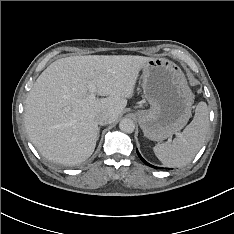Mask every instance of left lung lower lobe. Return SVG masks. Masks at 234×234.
Listing matches in <instances>:
<instances>
[{"label":"left lung lower lobe","mask_w":234,"mask_h":234,"mask_svg":"<svg viewBox=\"0 0 234 234\" xmlns=\"http://www.w3.org/2000/svg\"><path fill=\"white\" fill-rule=\"evenodd\" d=\"M136 152H137L139 158H140L145 164H147V165H149L150 167H153V168H155V169H160V167L153 166V165L149 164L148 162H146V161L142 158V156L140 155V153L138 152L137 149H136Z\"/></svg>","instance_id":"obj_1"}]
</instances>
